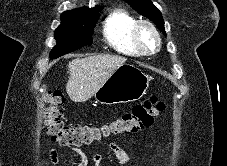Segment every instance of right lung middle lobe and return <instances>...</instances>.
Returning <instances> with one entry per match:
<instances>
[{"label": "right lung middle lobe", "mask_w": 227, "mask_h": 166, "mask_svg": "<svg viewBox=\"0 0 227 166\" xmlns=\"http://www.w3.org/2000/svg\"><path fill=\"white\" fill-rule=\"evenodd\" d=\"M102 7L80 13L62 14L61 25L55 30L57 45L50 56L57 58L83 46L92 44V33Z\"/></svg>", "instance_id": "obj_1"}]
</instances>
